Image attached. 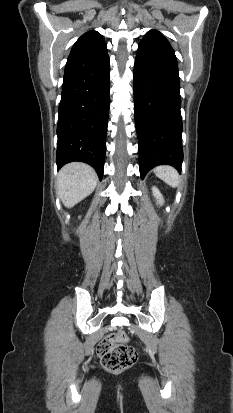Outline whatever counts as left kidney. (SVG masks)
Segmentation results:
<instances>
[{"instance_id": "left-kidney-1", "label": "left kidney", "mask_w": 233, "mask_h": 413, "mask_svg": "<svg viewBox=\"0 0 233 413\" xmlns=\"http://www.w3.org/2000/svg\"><path fill=\"white\" fill-rule=\"evenodd\" d=\"M152 191H153V195L156 198L158 204L162 205L164 202V199L161 193L159 192V190L156 187H152Z\"/></svg>"}]
</instances>
